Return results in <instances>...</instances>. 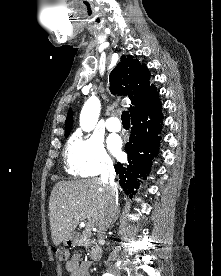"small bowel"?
<instances>
[{
  "label": "small bowel",
  "mask_w": 221,
  "mask_h": 276,
  "mask_svg": "<svg viewBox=\"0 0 221 276\" xmlns=\"http://www.w3.org/2000/svg\"><path fill=\"white\" fill-rule=\"evenodd\" d=\"M90 260H83L79 254H74L66 263L65 268L69 276H90Z\"/></svg>",
  "instance_id": "obj_1"
}]
</instances>
